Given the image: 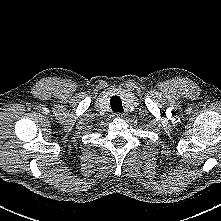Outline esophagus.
I'll list each match as a JSON object with an SVG mask.
<instances>
[{
    "label": "esophagus",
    "mask_w": 221,
    "mask_h": 221,
    "mask_svg": "<svg viewBox=\"0 0 221 221\" xmlns=\"http://www.w3.org/2000/svg\"><path fill=\"white\" fill-rule=\"evenodd\" d=\"M113 117H115V118H123L124 117V113H120V112L114 113Z\"/></svg>",
    "instance_id": "obj_1"
}]
</instances>
